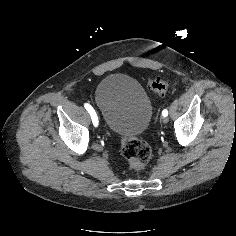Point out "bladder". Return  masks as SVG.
<instances>
[{
	"instance_id": "31cf9c89",
	"label": "bladder",
	"mask_w": 236,
	"mask_h": 236,
	"mask_svg": "<svg viewBox=\"0 0 236 236\" xmlns=\"http://www.w3.org/2000/svg\"><path fill=\"white\" fill-rule=\"evenodd\" d=\"M94 100L107 128L122 139L137 136L150 122L151 101L139 83L128 75L105 77L95 90Z\"/></svg>"
}]
</instances>
